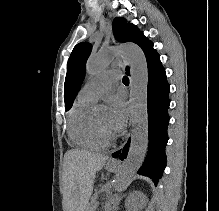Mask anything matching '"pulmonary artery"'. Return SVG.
I'll return each instance as SVG.
<instances>
[{"label": "pulmonary artery", "mask_w": 219, "mask_h": 211, "mask_svg": "<svg viewBox=\"0 0 219 211\" xmlns=\"http://www.w3.org/2000/svg\"><path fill=\"white\" fill-rule=\"evenodd\" d=\"M117 73V69H110L95 75L80 90L78 98L95 103L111 89L112 83L119 79Z\"/></svg>", "instance_id": "pulmonary-artery-1"}]
</instances>
